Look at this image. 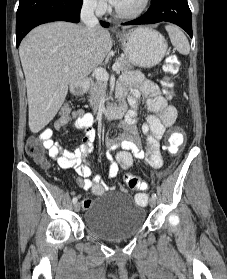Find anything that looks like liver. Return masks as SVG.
I'll return each mask as SVG.
<instances>
[{"instance_id": "1", "label": "liver", "mask_w": 227, "mask_h": 279, "mask_svg": "<svg viewBox=\"0 0 227 279\" xmlns=\"http://www.w3.org/2000/svg\"><path fill=\"white\" fill-rule=\"evenodd\" d=\"M111 48L108 30L63 21L40 25L25 37L19 55L32 133L42 130L58 113L68 85L101 64ZM65 67L68 71H64Z\"/></svg>"}]
</instances>
